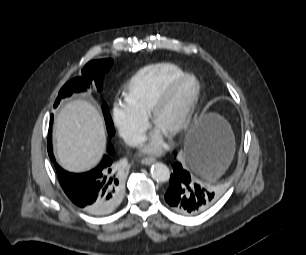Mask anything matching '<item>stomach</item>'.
Segmentation results:
<instances>
[{
  "instance_id": "obj_1",
  "label": "stomach",
  "mask_w": 306,
  "mask_h": 255,
  "mask_svg": "<svg viewBox=\"0 0 306 255\" xmlns=\"http://www.w3.org/2000/svg\"><path fill=\"white\" fill-rule=\"evenodd\" d=\"M193 142L205 145L215 142H226L228 144L229 154L217 163L211 173L193 168L198 176L213 181L228 167L233 154V134L229 124L215 113L202 114L194 121L186 134L185 149Z\"/></svg>"
}]
</instances>
